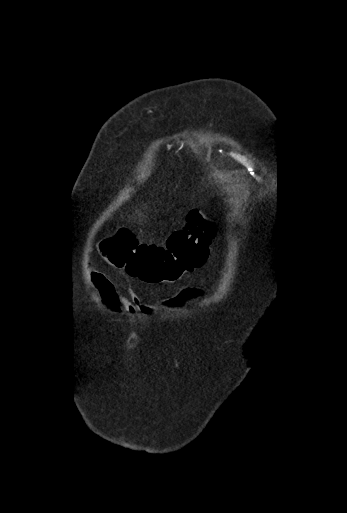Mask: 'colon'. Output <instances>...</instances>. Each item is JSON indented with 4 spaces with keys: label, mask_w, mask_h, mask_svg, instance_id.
<instances>
[{
    "label": "colon",
    "mask_w": 347,
    "mask_h": 513,
    "mask_svg": "<svg viewBox=\"0 0 347 513\" xmlns=\"http://www.w3.org/2000/svg\"><path fill=\"white\" fill-rule=\"evenodd\" d=\"M214 236V225L202 212L193 210L185 226L174 232L165 246L140 243L131 232L119 229L101 243V250L111 265L131 277L161 285L177 282L203 266Z\"/></svg>",
    "instance_id": "5ec220e1"
}]
</instances>
